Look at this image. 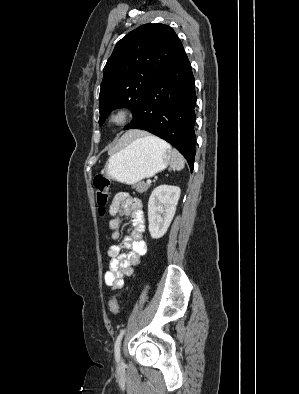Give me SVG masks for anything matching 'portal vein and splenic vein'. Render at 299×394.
Returning <instances> with one entry per match:
<instances>
[{"label":"portal vein and splenic vein","mask_w":299,"mask_h":394,"mask_svg":"<svg viewBox=\"0 0 299 394\" xmlns=\"http://www.w3.org/2000/svg\"><path fill=\"white\" fill-rule=\"evenodd\" d=\"M152 180L151 179H147V184H151Z\"/></svg>","instance_id":"portal-vein-and-splenic-vein-1"}]
</instances>
